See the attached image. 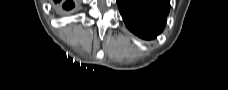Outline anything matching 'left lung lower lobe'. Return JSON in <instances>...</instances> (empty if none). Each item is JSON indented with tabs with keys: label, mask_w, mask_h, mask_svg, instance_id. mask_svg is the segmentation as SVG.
<instances>
[{
	"label": "left lung lower lobe",
	"mask_w": 228,
	"mask_h": 90,
	"mask_svg": "<svg viewBox=\"0 0 228 90\" xmlns=\"http://www.w3.org/2000/svg\"><path fill=\"white\" fill-rule=\"evenodd\" d=\"M130 31L144 39L156 37L164 28L169 0H117Z\"/></svg>",
	"instance_id": "obj_1"
}]
</instances>
